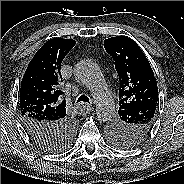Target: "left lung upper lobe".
<instances>
[{
  "label": "left lung upper lobe",
  "mask_w": 184,
  "mask_h": 184,
  "mask_svg": "<svg viewBox=\"0 0 184 184\" xmlns=\"http://www.w3.org/2000/svg\"><path fill=\"white\" fill-rule=\"evenodd\" d=\"M104 48L115 60L121 98L119 116L110 124L108 135L119 148L139 144L151 130L158 87L153 70L143 51L125 36L104 40Z\"/></svg>",
  "instance_id": "obj_1"
}]
</instances>
